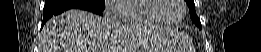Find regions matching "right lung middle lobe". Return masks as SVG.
<instances>
[{
	"label": "right lung middle lobe",
	"mask_w": 261,
	"mask_h": 52,
	"mask_svg": "<svg viewBox=\"0 0 261 52\" xmlns=\"http://www.w3.org/2000/svg\"><path fill=\"white\" fill-rule=\"evenodd\" d=\"M66 2L71 4H79L100 11H103L105 8V0H66Z\"/></svg>",
	"instance_id": "obj_1"
}]
</instances>
